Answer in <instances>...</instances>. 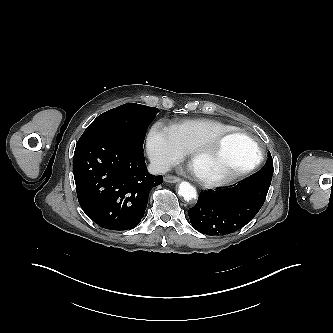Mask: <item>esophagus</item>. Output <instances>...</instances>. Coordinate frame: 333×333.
<instances>
[{
    "instance_id": "obj_1",
    "label": "esophagus",
    "mask_w": 333,
    "mask_h": 333,
    "mask_svg": "<svg viewBox=\"0 0 333 333\" xmlns=\"http://www.w3.org/2000/svg\"><path fill=\"white\" fill-rule=\"evenodd\" d=\"M164 181L167 183H177L180 181V178L172 175H166L164 177Z\"/></svg>"
}]
</instances>
